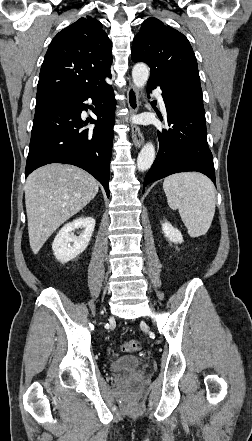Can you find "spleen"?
<instances>
[{"label":"spleen","instance_id":"obj_1","mask_svg":"<svg viewBox=\"0 0 252 441\" xmlns=\"http://www.w3.org/2000/svg\"><path fill=\"white\" fill-rule=\"evenodd\" d=\"M163 189L169 207L178 209L189 236L196 238L206 234L215 214L212 181L197 172L177 173L165 178Z\"/></svg>","mask_w":252,"mask_h":441}]
</instances>
